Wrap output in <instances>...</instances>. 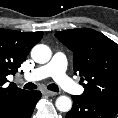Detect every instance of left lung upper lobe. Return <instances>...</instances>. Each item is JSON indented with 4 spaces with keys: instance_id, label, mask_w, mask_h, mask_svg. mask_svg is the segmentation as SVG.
Masks as SVG:
<instances>
[{
    "instance_id": "obj_1",
    "label": "left lung upper lobe",
    "mask_w": 118,
    "mask_h": 118,
    "mask_svg": "<svg viewBox=\"0 0 118 118\" xmlns=\"http://www.w3.org/2000/svg\"><path fill=\"white\" fill-rule=\"evenodd\" d=\"M73 51L74 73L84 84L81 96L118 105V45L89 28L56 32Z\"/></svg>"
}]
</instances>
